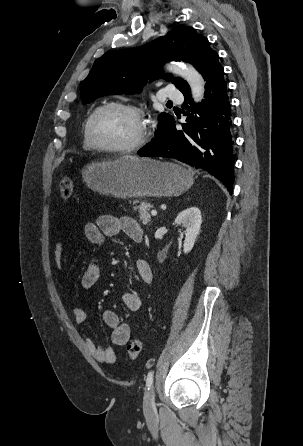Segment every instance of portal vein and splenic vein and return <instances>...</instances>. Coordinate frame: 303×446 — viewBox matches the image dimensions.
Returning <instances> with one entry per match:
<instances>
[{
  "label": "portal vein and splenic vein",
  "mask_w": 303,
  "mask_h": 446,
  "mask_svg": "<svg viewBox=\"0 0 303 446\" xmlns=\"http://www.w3.org/2000/svg\"><path fill=\"white\" fill-rule=\"evenodd\" d=\"M151 215H152V216H156V215H157V211H156V210H152V211H151Z\"/></svg>",
  "instance_id": "portal-vein-and-splenic-vein-1"
}]
</instances>
